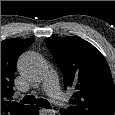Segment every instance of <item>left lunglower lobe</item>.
<instances>
[{
    "mask_svg": "<svg viewBox=\"0 0 115 115\" xmlns=\"http://www.w3.org/2000/svg\"><path fill=\"white\" fill-rule=\"evenodd\" d=\"M62 115H68L67 113H64V112H60Z\"/></svg>",
    "mask_w": 115,
    "mask_h": 115,
    "instance_id": "left-lung-lower-lobe-1",
    "label": "left lung lower lobe"
}]
</instances>
